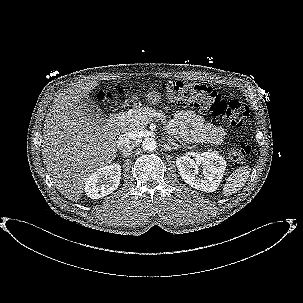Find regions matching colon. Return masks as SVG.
<instances>
[{
    "instance_id": "obj_1",
    "label": "colon",
    "mask_w": 303,
    "mask_h": 303,
    "mask_svg": "<svg viewBox=\"0 0 303 303\" xmlns=\"http://www.w3.org/2000/svg\"><path fill=\"white\" fill-rule=\"evenodd\" d=\"M163 90L174 105L192 106L232 128L241 127L249 114L246 104L238 100H226L203 83L171 80L163 85ZM99 97L111 98L112 94L99 93ZM250 151L249 143L244 138H238L230 149V156L235 163L241 164Z\"/></svg>"
}]
</instances>
